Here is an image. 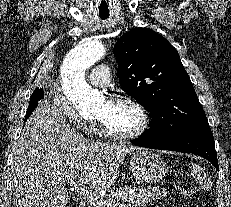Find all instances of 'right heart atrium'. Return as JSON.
<instances>
[{
	"label": "right heart atrium",
	"instance_id": "right-heart-atrium-1",
	"mask_svg": "<svg viewBox=\"0 0 231 207\" xmlns=\"http://www.w3.org/2000/svg\"><path fill=\"white\" fill-rule=\"evenodd\" d=\"M53 105L60 115L65 117L83 133L92 134L95 132L96 123L83 116L64 96L55 94L53 97Z\"/></svg>",
	"mask_w": 231,
	"mask_h": 207
}]
</instances>
